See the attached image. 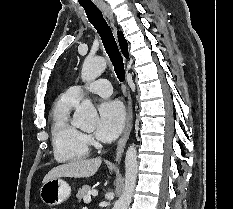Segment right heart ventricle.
Masks as SVG:
<instances>
[{
    "mask_svg": "<svg viewBox=\"0 0 233 209\" xmlns=\"http://www.w3.org/2000/svg\"><path fill=\"white\" fill-rule=\"evenodd\" d=\"M78 101L67 92L54 103L51 111V139L55 159L74 162L89 154L88 143L82 132L71 122L70 114Z\"/></svg>",
    "mask_w": 233,
    "mask_h": 209,
    "instance_id": "obj_1",
    "label": "right heart ventricle"
}]
</instances>
